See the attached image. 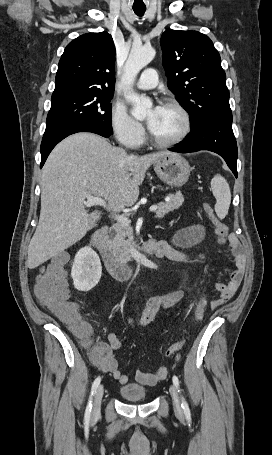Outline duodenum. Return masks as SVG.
Wrapping results in <instances>:
<instances>
[{
  "instance_id": "obj_1",
  "label": "duodenum",
  "mask_w": 272,
  "mask_h": 455,
  "mask_svg": "<svg viewBox=\"0 0 272 455\" xmlns=\"http://www.w3.org/2000/svg\"><path fill=\"white\" fill-rule=\"evenodd\" d=\"M109 228L103 226L95 231L90 239L89 246L97 251L108 272L116 279L127 280L133 275L134 267L126 260L115 255L107 244ZM156 253L155 241H147L142 244L137 257L143 259Z\"/></svg>"
}]
</instances>
